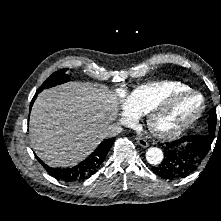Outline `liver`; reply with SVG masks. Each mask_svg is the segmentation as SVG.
<instances>
[{
    "mask_svg": "<svg viewBox=\"0 0 221 221\" xmlns=\"http://www.w3.org/2000/svg\"><path fill=\"white\" fill-rule=\"evenodd\" d=\"M117 115L118 100L105 85L70 82L44 90L30 115L31 144L49 166H74L94 151Z\"/></svg>",
    "mask_w": 221,
    "mask_h": 221,
    "instance_id": "1",
    "label": "liver"
}]
</instances>
